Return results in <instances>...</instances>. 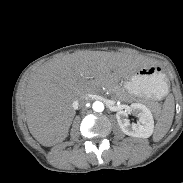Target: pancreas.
Here are the masks:
<instances>
[{"label":"pancreas","mask_w":183,"mask_h":183,"mask_svg":"<svg viewBox=\"0 0 183 183\" xmlns=\"http://www.w3.org/2000/svg\"><path fill=\"white\" fill-rule=\"evenodd\" d=\"M117 95H118L119 97L124 98V99H129V98L131 97V96H130L126 91H124V90H119L118 93H117Z\"/></svg>","instance_id":"pancreas-1"}]
</instances>
